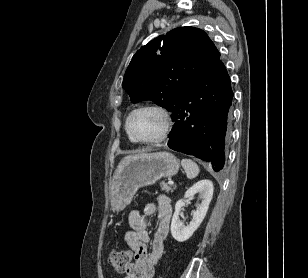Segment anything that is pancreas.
<instances>
[{
	"label": "pancreas",
	"instance_id": "pancreas-1",
	"mask_svg": "<svg viewBox=\"0 0 308 278\" xmlns=\"http://www.w3.org/2000/svg\"><path fill=\"white\" fill-rule=\"evenodd\" d=\"M160 186H161V189L165 191L166 193H170V192L172 193L176 189L175 185H169L165 182H161Z\"/></svg>",
	"mask_w": 308,
	"mask_h": 278
}]
</instances>
